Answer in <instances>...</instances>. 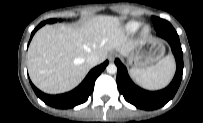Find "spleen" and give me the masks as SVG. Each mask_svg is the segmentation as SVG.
<instances>
[{
    "label": "spleen",
    "mask_w": 203,
    "mask_h": 123,
    "mask_svg": "<svg viewBox=\"0 0 203 123\" xmlns=\"http://www.w3.org/2000/svg\"><path fill=\"white\" fill-rule=\"evenodd\" d=\"M175 70L172 56H166L155 65L147 68H132L131 77L136 83L148 89H157L165 86L171 80Z\"/></svg>",
    "instance_id": "3e777b00"
}]
</instances>
